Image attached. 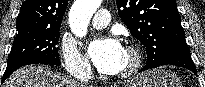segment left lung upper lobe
I'll return each mask as SVG.
<instances>
[{"label":"left lung upper lobe","instance_id":"obj_1","mask_svg":"<svg viewBox=\"0 0 205 87\" xmlns=\"http://www.w3.org/2000/svg\"><path fill=\"white\" fill-rule=\"evenodd\" d=\"M118 14L145 47L155 68L175 50L187 47L175 0H116Z\"/></svg>","mask_w":205,"mask_h":87}]
</instances>
